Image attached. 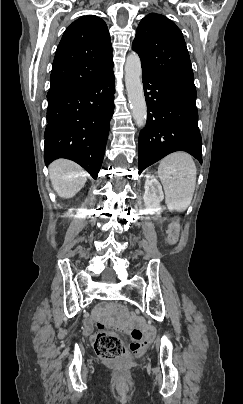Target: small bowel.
Listing matches in <instances>:
<instances>
[{
	"label": "small bowel",
	"mask_w": 243,
	"mask_h": 404,
	"mask_svg": "<svg viewBox=\"0 0 243 404\" xmlns=\"http://www.w3.org/2000/svg\"><path fill=\"white\" fill-rule=\"evenodd\" d=\"M92 327H93V323H92V322H87V324H86V326H85V331H86L87 333L91 332Z\"/></svg>",
	"instance_id": "c3829d8e"
}]
</instances>
